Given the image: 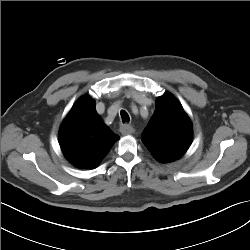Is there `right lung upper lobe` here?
Returning <instances> with one entry per match:
<instances>
[{
  "instance_id": "1",
  "label": "right lung upper lobe",
  "mask_w": 250,
  "mask_h": 250,
  "mask_svg": "<svg viewBox=\"0 0 250 250\" xmlns=\"http://www.w3.org/2000/svg\"><path fill=\"white\" fill-rule=\"evenodd\" d=\"M119 139L107 127L88 96L72 107L59 131V143L65 157L76 167L95 168Z\"/></svg>"
}]
</instances>
